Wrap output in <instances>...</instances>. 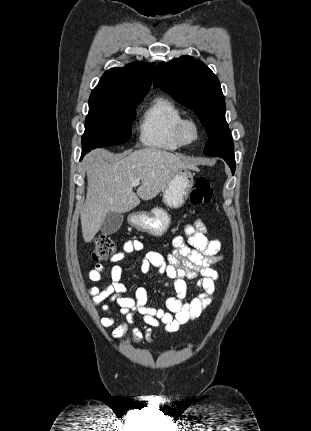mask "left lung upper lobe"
<instances>
[{"instance_id":"obj_1","label":"left lung upper lobe","mask_w":311,"mask_h":431,"mask_svg":"<svg viewBox=\"0 0 311 431\" xmlns=\"http://www.w3.org/2000/svg\"><path fill=\"white\" fill-rule=\"evenodd\" d=\"M154 85L162 87L196 113L208 135L205 155L220 157L234 154L220 82L204 63L191 56L161 62L156 69Z\"/></svg>"}]
</instances>
